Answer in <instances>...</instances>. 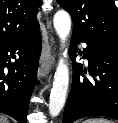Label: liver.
<instances>
[{"mask_svg": "<svg viewBox=\"0 0 118 123\" xmlns=\"http://www.w3.org/2000/svg\"><path fill=\"white\" fill-rule=\"evenodd\" d=\"M0 123H8V119L5 116L0 115Z\"/></svg>", "mask_w": 118, "mask_h": 123, "instance_id": "1", "label": "liver"}]
</instances>
